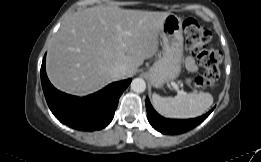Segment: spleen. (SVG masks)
Returning <instances> with one entry per match:
<instances>
[{
    "label": "spleen",
    "mask_w": 261,
    "mask_h": 162,
    "mask_svg": "<svg viewBox=\"0 0 261 162\" xmlns=\"http://www.w3.org/2000/svg\"><path fill=\"white\" fill-rule=\"evenodd\" d=\"M152 102L156 111L164 117L188 119L205 113L213 104V97L205 92L184 93L175 97H161L154 93Z\"/></svg>",
    "instance_id": "1"
}]
</instances>
